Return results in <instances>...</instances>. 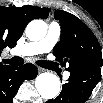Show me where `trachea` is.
I'll return each instance as SVG.
<instances>
[{
  "label": "trachea",
  "instance_id": "1",
  "mask_svg": "<svg viewBox=\"0 0 103 103\" xmlns=\"http://www.w3.org/2000/svg\"><path fill=\"white\" fill-rule=\"evenodd\" d=\"M5 63H8L12 66H19V65H22L24 63V60L21 57L15 56V57H12L9 60H5ZM36 64L41 66V67H44V68H47L49 66V62L43 61V60H38L36 62Z\"/></svg>",
  "mask_w": 103,
  "mask_h": 103
}]
</instances>
